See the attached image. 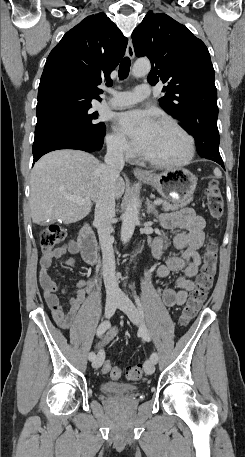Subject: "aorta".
<instances>
[{
    "instance_id": "aorta-1",
    "label": "aorta",
    "mask_w": 245,
    "mask_h": 457,
    "mask_svg": "<svg viewBox=\"0 0 245 457\" xmlns=\"http://www.w3.org/2000/svg\"><path fill=\"white\" fill-rule=\"evenodd\" d=\"M151 65L148 59L137 60L132 69V75L134 77H142L150 72ZM139 199L137 196H133L126 207L123 214L122 227H121V239L124 243L128 242L134 233L135 226L138 222L139 216Z\"/></svg>"
}]
</instances>
